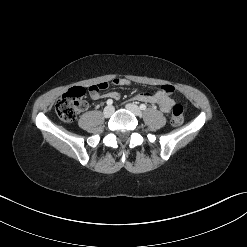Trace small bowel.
<instances>
[{
  "label": "small bowel",
  "instance_id": "small-bowel-1",
  "mask_svg": "<svg viewBox=\"0 0 247 247\" xmlns=\"http://www.w3.org/2000/svg\"><path fill=\"white\" fill-rule=\"evenodd\" d=\"M130 83H131L130 80L126 78H122V77H117L112 80V84L116 86H128L130 85ZM173 91H174V88L171 85H163L154 92H141L137 94L134 97V100L137 102H147V103L158 104L160 107V110L163 113H168L174 104V101L171 98V94ZM90 96L94 100L100 99L102 97H110V98L117 99L119 97V94L115 91L102 94L100 91L92 89V86H91Z\"/></svg>",
  "mask_w": 247,
  "mask_h": 247
}]
</instances>
